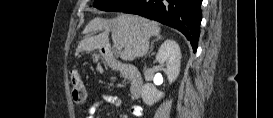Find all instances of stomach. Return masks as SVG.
Instances as JSON below:
<instances>
[{"mask_svg": "<svg viewBox=\"0 0 273 118\" xmlns=\"http://www.w3.org/2000/svg\"><path fill=\"white\" fill-rule=\"evenodd\" d=\"M94 59L98 60L99 59V55H94Z\"/></svg>", "mask_w": 273, "mask_h": 118, "instance_id": "stomach-1", "label": "stomach"}]
</instances>
